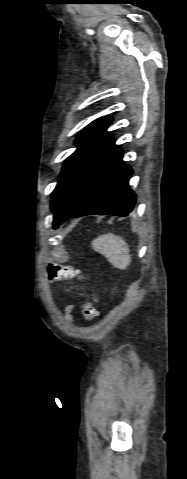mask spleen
<instances>
[{
    "label": "spleen",
    "instance_id": "obj_1",
    "mask_svg": "<svg viewBox=\"0 0 187 479\" xmlns=\"http://www.w3.org/2000/svg\"><path fill=\"white\" fill-rule=\"evenodd\" d=\"M91 245L94 251L105 256L115 268L125 270L131 263L129 246L120 236L104 234L94 239Z\"/></svg>",
    "mask_w": 187,
    "mask_h": 479
}]
</instances>
